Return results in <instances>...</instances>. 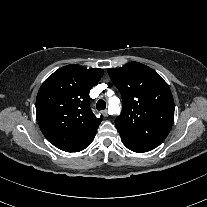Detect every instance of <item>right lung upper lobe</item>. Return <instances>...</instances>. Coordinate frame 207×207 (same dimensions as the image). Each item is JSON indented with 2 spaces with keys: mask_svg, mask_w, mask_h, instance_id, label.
<instances>
[{
  "mask_svg": "<svg viewBox=\"0 0 207 207\" xmlns=\"http://www.w3.org/2000/svg\"><path fill=\"white\" fill-rule=\"evenodd\" d=\"M102 69L64 66L40 87L36 115L44 136L56 147L76 152L94 138L102 118L90 108V89L100 80Z\"/></svg>",
  "mask_w": 207,
  "mask_h": 207,
  "instance_id": "cb5924a9",
  "label": "right lung upper lobe"
}]
</instances>
